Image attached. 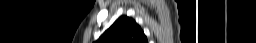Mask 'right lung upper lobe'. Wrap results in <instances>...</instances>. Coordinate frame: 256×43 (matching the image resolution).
Instances as JSON below:
<instances>
[{
  "label": "right lung upper lobe",
  "instance_id": "right-lung-upper-lobe-1",
  "mask_svg": "<svg viewBox=\"0 0 256 43\" xmlns=\"http://www.w3.org/2000/svg\"><path fill=\"white\" fill-rule=\"evenodd\" d=\"M96 43H148L141 27L127 16L119 17Z\"/></svg>",
  "mask_w": 256,
  "mask_h": 43
}]
</instances>
